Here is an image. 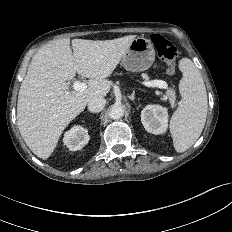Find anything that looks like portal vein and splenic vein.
I'll return each instance as SVG.
<instances>
[{
    "label": "portal vein and splenic vein",
    "mask_w": 232,
    "mask_h": 232,
    "mask_svg": "<svg viewBox=\"0 0 232 232\" xmlns=\"http://www.w3.org/2000/svg\"><path fill=\"white\" fill-rule=\"evenodd\" d=\"M144 85L147 87H158V88H163V89H167L168 87V84L162 80H153V81L144 82ZM86 88H87V85L81 81H75L73 83V89L75 91H85Z\"/></svg>",
    "instance_id": "obj_1"
}]
</instances>
